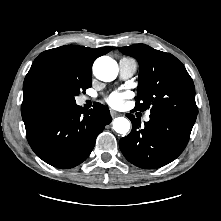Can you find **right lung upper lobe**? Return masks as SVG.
<instances>
[{"instance_id": "right-lung-upper-lobe-1", "label": "right lung upper lobe", "mask_w": 221, "mask_h": 221, "mask_svg": "<svg viewBox=\"0 0 221 221\" xmlns=\"http://www.w3.org/2000/svg\"><path fill=\"white\" fill-rule=\"evenodd\" d=\"M111 49L65 45L41 53L34 60L24 80L22 115L52 103L45 93V86L49 81L71 75L92 77L95 59Z\"/></svg>"}]
</instances>
